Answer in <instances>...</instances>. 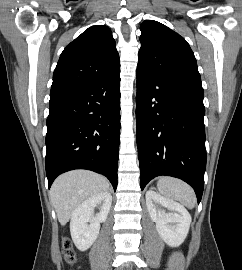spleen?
<instances>
[{
    "label": "spleen",
    "mask_w": 242,
    "mask_h": 270,
    "mask_svg": "<svg viewBox=\"0 0 242 270\" xmlns=\"http://www.w3.org/2000/svg\"><path fill=\"white\" fill-rule=\"evenodd\" d=\"M158 191L168 199H174L189 209L194 208V190L185 182L171 177H161L157 182Z\"/></svg>",
    "instance_id": "1"
}]
</instances>
